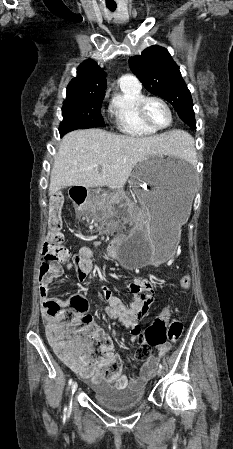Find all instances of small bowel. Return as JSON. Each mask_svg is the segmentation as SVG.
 <instances>
[{
	"mask_svg": "<svg viewBox=\"0 0 233 449\" xmlns=\"http://www.w3.org/2000/svg\"><path fill=\"white\" fill-rule=\"evenodd\" d=\"M94 252L90 247H82L77 254L68 255L64 260L49 263L40 268L39 274V291L44 302L49 299V287L53 278L59 276L62 272L63 265L69 260L72 261L79 281H84L93 270ZM104 256L109 259L116 258L114 249H109ZM160 283V279L154 277L152 279L135 278L130 283V290L133 293L132 300L129 304L119 297L113 296L108 287L102 286L101 291L107 302L104 308L108 316L117 320L130 328L129 340L135 343L140 335V327L138 321L147 313L149 306L154 299V285ZM56 350V349H55ZM100 350L103 352L98 359L94 358V350L84 352H72L74 357L81 361L78 367L73 368L80 376L91 379L95 383H100L105 379L109 383L118 382L124 385L129 382L131 385L144 383L153 374L158 364V358L148 354L137 376L127 378L122 371V361L114 353L113 345H102ZM167 350L166 346L159 347V351L163 354ZM102 361H106L103 364Z\"/></svg>",
	"mask_w": 233,
	"mask_h": 449,
	"instance_id": "1",
	"label": "small bowel"
}]
</instances>
